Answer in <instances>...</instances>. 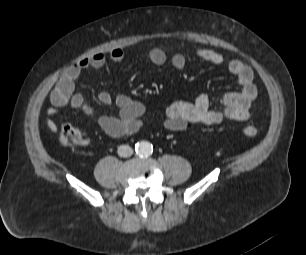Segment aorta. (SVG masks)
<instances>
[{
    "label": "aorta",
    "instance_id": "obj_1",
    "mask_svg": "<svg viewBox=\"0 0 306 255\" xmlns=\"http://www.w3.org/2000/svg\"><path fill=\"white\" fill-rule=\"evenodd\" d=\"M136 154L141 157H147L153 153V146L148 141H141L135 145Z\"/></svg>",
    "mask_w": 306,
    "mask_h": 255
}]
</instances>
